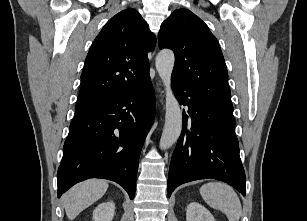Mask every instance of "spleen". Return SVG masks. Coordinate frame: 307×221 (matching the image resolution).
Wrapping results in <instances>:
<instances>
[{"mask_svg": "<svg viewBox=\"0 0 307 221\" xmlns=\"http://www.w3.org/2000/svg\"><path fill=\"white\" fill-rule=\"evenodd\" d=\"M200 194L209 206L222 211L229 221H239L241 203L231 186L223 182H209L200 188Z\"/></svg>", "mask_w": 307, "mask_h": 221, "instance_id": "3e777b00", "label": "spleen"}]
</instances>
